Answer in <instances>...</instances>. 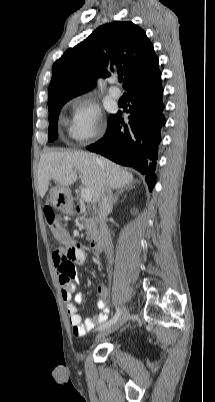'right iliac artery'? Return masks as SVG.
Returning a JSON list of instances; mask_svg holds the SVG:
<instances>
[{
	"mask_svg": "<svg viewBox=\"0 0 215 402\" xmlns=\"http://www.w3.org/2000/svg\"><path fill=\"white\" fill-rule=\"evenodd\" d=\"M120 316H121V309H120V308H117L114 317H113L111 320H109L108 322H106V323L100 325L97 329H98V330H101V329H103V328H106V327L112 325L113 323H115V322L119 319Z\"/></svg>",
	"mask_w": 215,
	"mask_h": 402,
	"instance_id": "right-iliac-artery-1",
	"label": "right iliac artery"
}]
</instances>
